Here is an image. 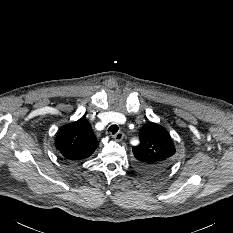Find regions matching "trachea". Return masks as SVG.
I'll return each mask as SVG.
<instances>
[{
    "instance_id": "trachea-1",
    "label": "trachea",
    "mask_w": 233,
    "mask_h": 233,
    "mask_svg": "<svg viewBox=\"0 0 233 233\" xmlns=\"http://www.w3.org/2000/svg\"><path fill=\"white\" fill-rule=\"evenodd\" d=\"M118 126L116 124H113L109 127L108 131H110L112 134H116L118 132Z\"/></svg>"
}]
</instances>
